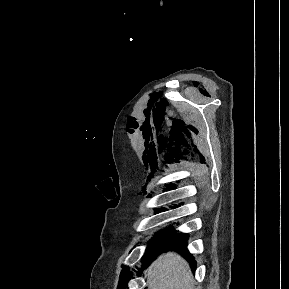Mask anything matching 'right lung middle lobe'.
Segmentation results:
<instances>
[{
	"label": "right lung middle lobe",
	"mask_w": 289,
	"mask_h": 289,
	"mask_svg": "<svg viewBox=\"0 0 289 289\" xmlns=\"http://www.w3.org/2000/svg\"><path fill=\"white\" fill-rule=\"evenodd\" d=\"M174 234H175L174 231L170 232V234H168V231H163V232H158L156 236L172 237Z\"/></svg>",
	"instance_id": "1"
}]
</instances>
